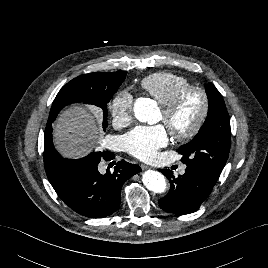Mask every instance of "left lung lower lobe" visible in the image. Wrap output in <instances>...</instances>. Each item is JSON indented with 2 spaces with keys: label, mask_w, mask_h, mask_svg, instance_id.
<instances>
[{
  "label": "left lung lower lobe",
  "mask_w": 268,
  "mask_h": 268,
  "mask_svg": "<svg viewBox=\"0 0 268 268\" xmlns=\"http://www.w3.org/2000/svg\"><path fill=\"white\" fill-rule=\"evenodd\" d=\"M159 171L170 181L169 193L159 200V205L166 212L180 215L196 211L218 179L209 171L194 166H187L185 173L177 178L171 170Z\"/></svg>",
  "instance_id": "1"
}]
</instances>
